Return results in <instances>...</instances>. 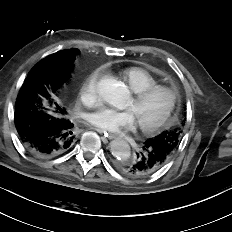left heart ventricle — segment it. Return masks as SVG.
<instances>
[{
    "instance_id": "b2bd125f",
    "label": "left heart ventricle",
    "mask_w": 232,
    "mask_h": 232,
    "mask_svg": "<svg viewBox=\"0 0 232 232\" xmlns=\"http://www.w3.org/2000/svg\"><path fill=\"white\" fill-rule=\"evenodd\" d=\"M168 101V94L159 92L140 103L131 100L127 105V109L133 113L137 123H152L165 112Z\"/></svg>"
}]
</instances>
